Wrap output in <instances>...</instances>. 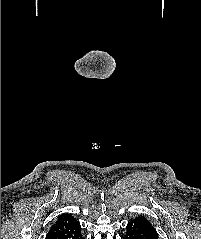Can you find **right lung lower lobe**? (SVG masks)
I'll use <instances>...</instances> for the list:
<instances>
[{
    "mask_svg": "<svg viewBox=\"0 0 201 239\" xmlns=\"http://www.w3.org/2000/svg\"><path fill=\"white\" fill-rule=\"evenodd\" d=\"M79 239H84L82 235H80Z\"/></svg>",
    "mask_w": 201,
    "mask_h": 239,
    "instance_id": "98d812e1",
    "label": "right lung lower lobe"
}]
</instances>
